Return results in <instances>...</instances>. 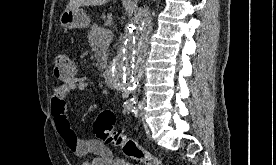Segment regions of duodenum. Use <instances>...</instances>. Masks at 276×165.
<instances>
[{
  "instance_id": "duodenum-1",
  "label": "duodenum",
  "mask_w": 276,
  "mask_h": 165,
  "mask_svg": "<svg viewBox=\"0 0 276 165\" xmlns=\"http://www.w3.org/2000/svg\"><path fill=\"white\" fill-rule=\"evenodd\" d=\"M104 77H105L106 83H107L110 87H113V86H114L113 78H112L111 73H110L108 70H106V71L104 72Z\"/></svg>"
}]
</instances>
